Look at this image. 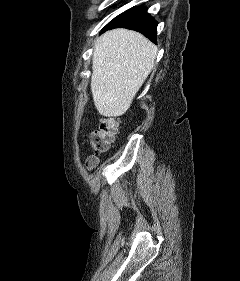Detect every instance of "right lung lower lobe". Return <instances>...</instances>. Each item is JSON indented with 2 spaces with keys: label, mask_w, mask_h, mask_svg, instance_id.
I'll return each mask as SVG.
<instances>
[{
  "label": "right lung lower lobe",
  "mask_w": 240,
  "mask_h": 281,
  "mask_svg": "<svg viewBox=\"0 0 240 281\" xmlns=\"http://www.w3.org/2000/svg\"><path fill=\"white\" fill-rule=\"evenodd\" d=\"M123 27L138 31L152 42H156L157 22L148 13L147 8L137 7L114 18L105 29Z\"/></svg>",
  "instance_id": "98d812e1"
}]
</instances>
